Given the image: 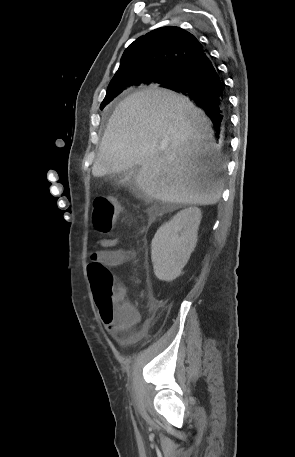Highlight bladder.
<instances>
[{"label":"bladder","instance_id":"obj_1","mask_svg":"<svg viewBox=\"0 0 295 457\" xmlns=\"http://www.w3.org/2000/svg\"><path fill=\"white\" fill-rule=\"evenodd\" d=\"M116 345L117 347H132L133 340L132 338H117Z\"/></svg>","mask_w":295,"mask_h":457}]
</instances>
